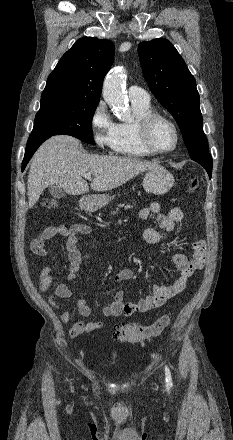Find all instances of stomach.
<instances>
[{
  "mask_svg": "<svg viewBox=\"0 0 233 440\" xmlns=\"http://www.w3.org/2000/svg\"><path fill=\"white\" fill-rule=\"evenodd\" d=\"M174 177L163 167L149 170L143 178V188L148 193L155 195L166 194L174 185ZM111 201V196L87 195L80 200V206L87 211H95L106 206Z\"/></svg>",
  "mask_w": 233,
  "mask_h": 440,
  "instance_id": "obj_1",
  "label": "stomach"
}]
</instances>
